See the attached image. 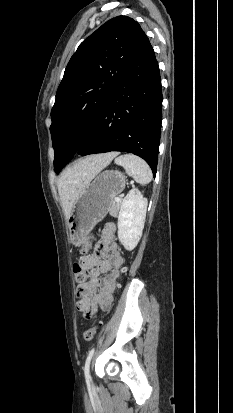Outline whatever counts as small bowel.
Masks as SVG:
<instances>
[{
	"label": "small bowel",
	"mask_w": 233,
	"mask_h": 413,
	"mask_svg": "<svg viewBox=\"0 0 233 413\" xmlns=\"http://www.w3.org/2000/svg\"><path fill=\"white\" fill-rule=\"evenodd\" d=\"M80 263L89 270V278L77 287V306L86 317H93L99 310L105 311L110 308L123 265L113 222L105 225L95 253L82 257ZM102 274L105 276L101 278Z\"/></svg>",
	"instance_id": "1"
}]
</instances>
